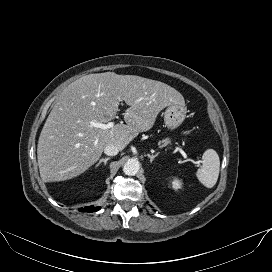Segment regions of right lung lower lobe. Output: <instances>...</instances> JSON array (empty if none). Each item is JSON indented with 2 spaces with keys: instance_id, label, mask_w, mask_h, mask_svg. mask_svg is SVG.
I'll list each match as a JSON object with an SVG mask.
<instances>
[{
  "instance_id": "obj_1",
  "label": "right lung lower lobe",
  "mask_w": 272,
  "mask_h": 272,
  "mask_svg": "<svg viewBox=\"0 0 272 272\" xmlns=\"http://www.w3.org/2000/svg\"><path fill=\"white\" fill-rule=\"evenodd\" d=\"M100 207H94V206H86L84 208H79V211L81 212H95L98 211Z\"/></svg>"
}]
</instances>
